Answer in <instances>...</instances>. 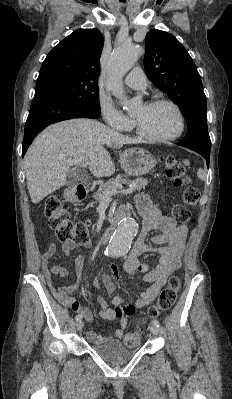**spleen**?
<instances>
[{"instance_id": "3e777b00", "label": "spleen", "mask_w": 232, "mask_h": 399, "mask_svg": "<svg viewBox=\"0 0 232 399\" xmlns=\"http://www.w3.org/2000/svg\"><path fill=\"white\" fill-rule=\"evenodd\" d=\"M197 176H198L199 180H205L206 174H205L204 170H201V168H199V170L197 172Z\"/></svg>"}]
</instances>
